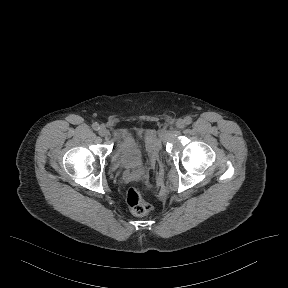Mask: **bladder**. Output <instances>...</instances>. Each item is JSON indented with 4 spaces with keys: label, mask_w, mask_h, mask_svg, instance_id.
I'll return each instance as SVG.
<instances>
[{
    "label": "bladder",
    "mask_w": 288,
    "mask_h": 288,
    "mask_svg": "<svg viewBox=\"0 0 288 288\" xmlns=\"http://www.w3.org/2000/svg\"><path fill=\"white\" fill-rule=\"evenodd\" d=\"M159 151L160 142L154 130H125L115 135L110 159L117 169H136L144 161L155 159Z\"/></svg>",
    "instance_id": "31cf9c89"
}]
</instances>
